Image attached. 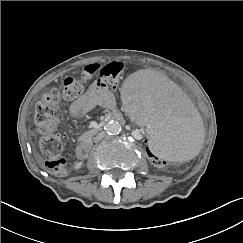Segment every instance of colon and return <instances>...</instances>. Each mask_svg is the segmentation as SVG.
Wrapping results in <instances>:
<instances>
[{
    "mask_svg": "<svg viewBox=\"0 0 243 243\" xmlns=\"http://www.w3.org/2000/svg\"><path fill=\"white\" fill-rule=\"evenodd\" d=\"M124 65L114 61L105 66L89 65L83 68L79 76L68 77L63 81L62 89H52L45 93L34 106V123L37 131L41 134L40 149L45 156L46 169L55 175L66 173V162L62 156L64 144L62 140L54 134L58 126L56 111L62 99L74 100L78 98L86 86L101 83L111 87H116ZM145 157L152 165L158 168L172 167L175 171L191 169L193 161L170 162L168 159H161L153 153L147 139L139 141Z\"/></svg>",
    "mask_w": 243,
    "mask_h": 243,
    "instance_id": "obj_1",
    "label": "colon"
}]
</instances>
